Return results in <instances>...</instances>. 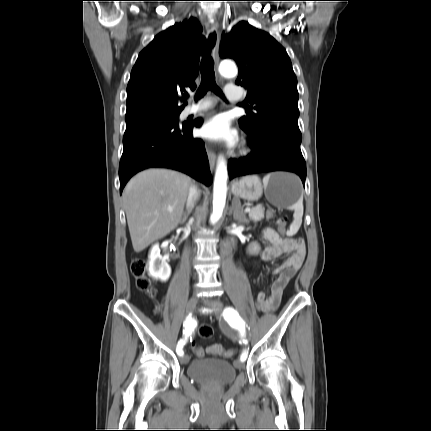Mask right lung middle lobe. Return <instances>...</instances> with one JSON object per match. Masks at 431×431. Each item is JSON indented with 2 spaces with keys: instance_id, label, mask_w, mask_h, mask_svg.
<instances>
[{
  "instance_id": "right-lung-middle-lobe-1",
  "label": "right lung middle lobe",
  "mask_w": 431,
  "mask_h": 431,
  "mask_svg": "<svg viewBox=\"0 0 431 431\" xmlns=\"http://www.w3.org/2000/svg\"><path fill=\"white\" fill-rule=\"evenodd\" d=\"M181 111L178 112H170V113H161L156 114L152 116H148L146 118L140 119V120H134V121H126V126L136 124L141 121L145 120H152V119H171V120H178L179 114Z\"/></svg>"
}]
</instances>
